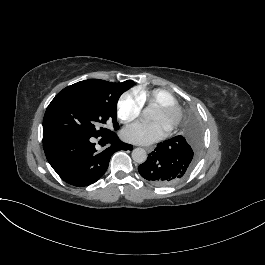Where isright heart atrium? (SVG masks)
Returning a JSON list of instances; mask_svg holds the SVG:
<instances>
[{
    "mask_svg": "<svg viewBox=\"0 0 265 265\" xmlns=\"http://www.w3.org/2000/svg\"><path fill=\"white\" fill-rule=\"evenodd\" d=\"M141 99L133 92L125 93L118 102V116L123 123L137 119L143 109Z\"/></svg>",
    "mask_w": 265,
    "mask_h": 265,
    "instance_id": "obj_1",
    "label": "right heart atrium"
}]
</instances>
